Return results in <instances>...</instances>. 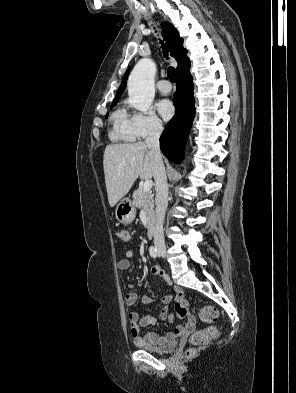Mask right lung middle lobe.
I'll return each mask as SVG.
<instances>
[{"instance_id": "obj_1", "label": "right lung middle lobe", "mask_w": 296, "mask_h": 393, "mask_svg": "<svg viewBox=\"0 0 296 393\" xmlns=\"http://www.w3.org/2000/svg\"><path fill=\"white\" fill-rule=\"evenodd\" d=\"M117 103V101H114L111 105V107H113L115 104Z\"/></svg>"}]
</instances>
